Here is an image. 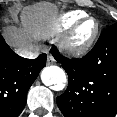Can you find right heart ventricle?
Returning a JSON list of instances; mask_svg holds the SVG:
<instances>
[{"mask_svg": "<svg viewBox=\"0 0 117 117\" xmlns=\"http://www.w3.org/2000/svg\"><path fill=\"white\" fill-rule=\"evenodd\" d=\"M83 11H70L62 15L60 26L63 30L71 28L76 22L86 17Z\"/></svg>", "mask_w": 117, "mask_h": 117, "instance_id": "1", "label": "right heart ventricle"}]
</instances>
